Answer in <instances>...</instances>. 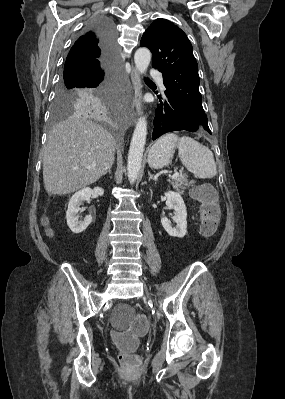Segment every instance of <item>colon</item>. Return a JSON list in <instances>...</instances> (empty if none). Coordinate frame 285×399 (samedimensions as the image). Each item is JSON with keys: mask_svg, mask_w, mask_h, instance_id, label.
I'll list each match as a JSON object with an SVG mask.
<instances>
[{"mask_svg": "<svg viewBox=\"0 0 285 399\" xmlns=\"http://www.w3.org/2000/svg\"><path fill=\"white\" fill-rule=\"evenodd\" d=\"M192 198L200 203V211L202 216L201 233L204 236L212 235L217 228L219 222V207L216 203V195L211 187L198 185L191 190ZM45 229H48L45 226ZM147 330V320L144 317H133L128 328L123 331L113 333L122 362L131 367L138 363L135 351L139 345L140 338Z\"/></svg>", "mask_w": 285, "mask_h": 399, "instance_id": "1", "label": "colon"}]
</instances>
